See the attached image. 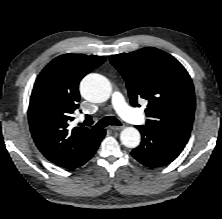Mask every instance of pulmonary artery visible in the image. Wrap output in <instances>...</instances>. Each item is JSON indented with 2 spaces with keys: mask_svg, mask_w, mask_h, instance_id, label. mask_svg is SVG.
Instances as JSON below:
<instances>
[{
  "mask_svg": "<svg viewBox=\"0 0 222 219\" xmlns=\"http://www.w3.org/2000/svg\"><path fill=\"white\" fill-rule=\"evenodd\" d=\"M112 102L115 110L124 120L136 125H142L145 123V116L142 113L130 108L120 93L115 92L113 94Z\"/></svg>",
  "mask_w": 222,
  "mask_h": 219,
  "instance_id": "obj_1",
  "label": "pulmonary artery"
}]
</instances>
